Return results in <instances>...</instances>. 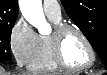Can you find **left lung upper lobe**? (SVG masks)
I'll use <instances>...</instances> for the list:
<instances>
[{"label":"left lung upper lobe","mask_w":107,"mask_h":75,"mask_svg":"<svg viewBox=\"0 0 107 75\" xmlns=\"http://www.w3.org/2000/svg\"><path fill=\"white\" fill-rule=\"evenodd\" d=\"M107 67V0H61Z\"/></svg>","instance_id":"left-lung-upper-lobe-1"}]
</instances>
